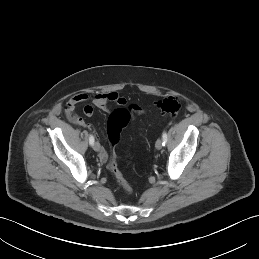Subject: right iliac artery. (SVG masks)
<instances>
[{
  "label": "right iliac artery",
  "instance_id": "right-iliac-artery-1",
  "mask_svg": "<svg viewBox=\"0 0 259 259\" xmlns=\"http://www.w3.org/2000/svg\"><path fill=\"white\" fill-rule=\"evenodd\" d=\"M89 143H90V145L94 144V137L92 135H90V137H89Z\"/></svg>",
  "mask_w": 259,
  "mask_h": 259
}]
</instances>
